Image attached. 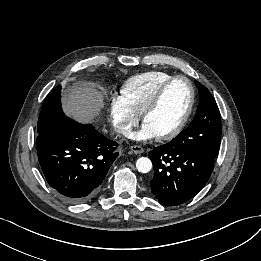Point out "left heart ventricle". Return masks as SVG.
<instances>
[{
  "mask_svg": "<svg viewBox=\"0 0 261 261\" xmlns=\"http://www.w3.org/2000/svg\"><path fill=\"white\" fill-rule=\"evenodd\" d=\"M188 84L179 80L166 91L159 108L147 117L145 124L159 136L173 130L181 121L189 104Z\"/></svg>",
  "mask_w": 261,
  "mask_h": 261,
  "instance_id": "obj_1",
  "label": "left heart ventricle"
}]
</instances>
